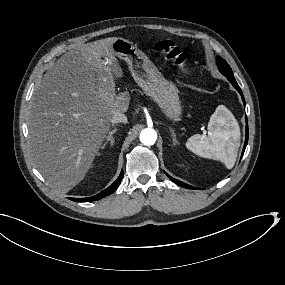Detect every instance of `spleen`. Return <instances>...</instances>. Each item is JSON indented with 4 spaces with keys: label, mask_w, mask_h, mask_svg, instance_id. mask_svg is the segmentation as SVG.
<instances>
[{
    "label": "spleen",
    "mask_w": 285,
    "mask_h": 285,
    "mask_svg": "<svg viewBox=\"0 0 285 285\" xmlns=\"http://www.w3.org/2000/svg\"><path fill=\"white\" fill-rule=\"evenodd\" d=\"M225 125L227 130H220V125ZM230 123L222 114L215 112L208 123L210 135L204 137L200 134L191 136L186 142L187 149L196 155L205 158L220 160L231 169L236 161L239 146V130L231 131Z\"/></svg>",
    "instance_id": "spleen-1"
}]
</instances>
